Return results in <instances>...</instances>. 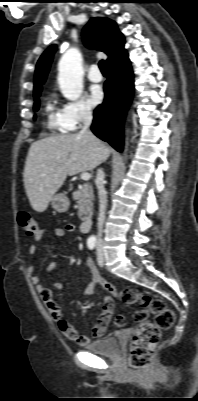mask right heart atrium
I'll return each mask as SVG.
<instances>
[{
	"label": "right heart atrium",
	"instance_id": "obj_1",
	"mask_svg": "<svg viewBox=\"0 0 198 401\" xmlns=\"http://www.w3.org/2000/svg\"><path fill=\"white\" fill-rule=\"evenodd\" d=\"M60 116L69 131L81 127L94 117V109L84 100L67 101L60 109Z\"/></svg>",
	"mask_w": 198,
	"mask_h": 401
}]
</instances>
